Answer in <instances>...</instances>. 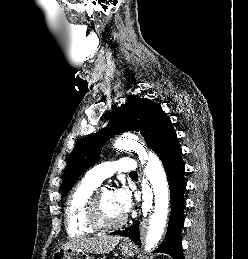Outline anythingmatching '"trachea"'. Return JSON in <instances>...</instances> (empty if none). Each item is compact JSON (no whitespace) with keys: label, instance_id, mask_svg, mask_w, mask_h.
<instances>
[{"label":"trachea","instance_id":"trachea-1","mask_svg":"<svg viewBox=\"0 0 248 259\" xmlns=\"http://www.w3.org/2000/svg\"><path fill=\"white\" fill-rule=\"evenodd\" d=\"M131 175H137V173L136 172H132Z\"/></svg>","mask_w":248,"mask_h":259}]
</instances>
